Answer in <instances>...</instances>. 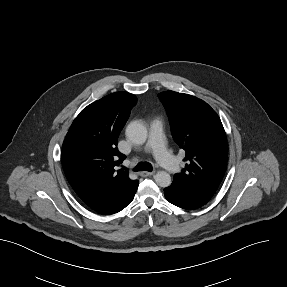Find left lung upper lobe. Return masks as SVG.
Segmentation results:
<instances>
[{"instance_id":"left-lung-upper-lobe-1","label":"left lung upper lobe","mask_w":287,"mask_h":287,"mask_svg":"<svg viewBox=\"0 0 287 287\" xmlns=\"http://www.w3.org/2000/svg\"><path fill=\"white\" fill-rule=\"evenodd\" d=\"M174 140L186 152L185 168L175 182L197 187L214 195L227 166V139L217 113L203 100L183 93L159 94Z\"/></svg>"}]
</instances>
